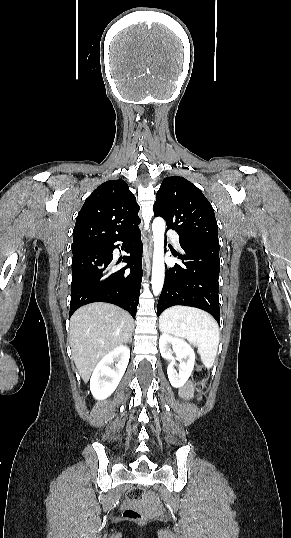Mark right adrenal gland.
<instances>
[{"mask_svg":"<svg viewBox=\"0 0 291 538\" xmlns=\"http://www.w3.org/2000/svg\"><path fill=\"white\" fill-rule=\"evenodd\" d=\"M131 341H132V339L130 338V339L128 340V343H131Z\"/></svg>","mask_w":291,"mask_h":538,"instance_id":"obj_1","label":"right adrenal gland"}]
</instances>
